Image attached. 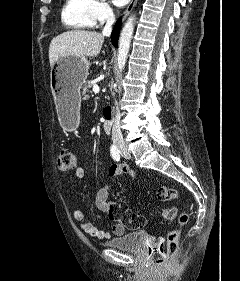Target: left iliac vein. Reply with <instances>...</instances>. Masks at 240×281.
<instances>
[{"mask_svg": "<svg viewBox=\"0 0 240 281\" xmlns=\"http://www.w3.org/2000/svg\"><path fill=\"white\" fill-rule=\"evenodd\" d=\"M122 156L125 158V159H130L131 158V155L128 151H124L122 152Z\"/></svg>", "mask_w": 240, "mask_h": 281, "instance_id": "1", "label": "left iliac vein"}]
</instances>
